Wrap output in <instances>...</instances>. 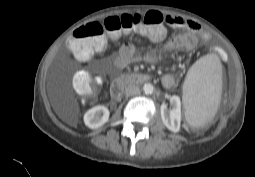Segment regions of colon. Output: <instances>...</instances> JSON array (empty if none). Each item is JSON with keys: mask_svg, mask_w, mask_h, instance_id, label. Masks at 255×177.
I'll return each mask as SVG.
<instances>
[{"mask_svg": "<svg viewBox=\"0 0 255 177\" xmlns=\"http://www.w3.org/2000/svg\"><path fill=\"white\" fill-rule=\"evenodd\" d=\"M166 23V17L157 11L109 17L77 29L68 40V49L78 59L87 60L95 52L102 51L109 40H117L122 35L138 32L158 39L163 35ZM102 84L100 74H91L86 70H79L73 78L75 91L89 102Z\"/></svg>", "mask_w": 255, "mask_h": 177, "instance_id": "obj_1", "label": "colon"}]
</instances>
